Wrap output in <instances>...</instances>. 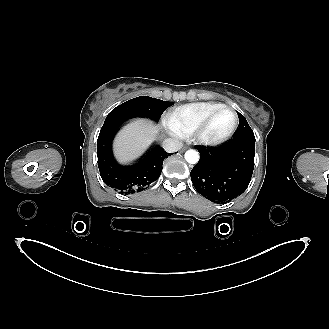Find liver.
I'll list each match as a JSON object with an SVG mask.
<instances>
[{"instance_id": "liver-1", "label": "liver", "mask_w": 329, "mask_h": 329, "mask_svg": "<svg viewBox=\"0 0 329 329\" xmlns=\"http://www.w3.org/2000/svg\"><path fill=\"white\" fill-rule=\"evenodd\" d=\"M158 129L160 128L143 120H135L124 126L114 142L118 160L129 163L137 159L155 139Z\"/></svg>"}]
</instances>
